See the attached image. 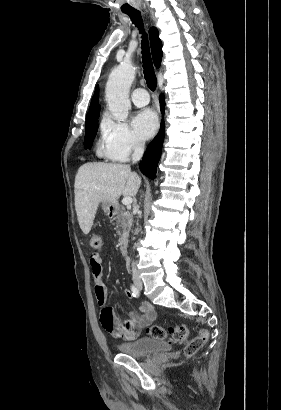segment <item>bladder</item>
<instances>
[{
  "label": "bladder",
  "instance_id": "1",
  "mask_svg": "<svg viewBox=\"0 0 281 410\" xmlns=\"http://www.w3.org/2000/svg\"><path fill=\"white\" fill-rule=\"evenodd\" d=\"M121 354L132 357H147L156 353L169 352L171 345L163 340L140 337L132 342L117 345Z\"/></svg>",
  "mask_w": 281,
  "mask_h": 410
}]
</instances>
